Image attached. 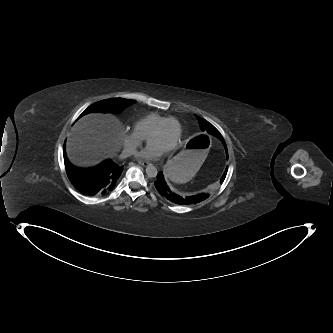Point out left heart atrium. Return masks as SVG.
I'll return each instance as SVG.
<instances>
[{
    "label": "left heart atrium",
    "mask_w": 333,
    "mask_h": 333,
    "mask_svg": "<svg viewBox=\"0 0 333 333\" xmlns=\"http://www.w3.org/2000/svg\"><path fill=\"white\" fill-rule=\"evenodd\" d=\"M166 152V149H162L155 144L150 143L145 150H143L139 156L145 159H157Z\"/></svg>",
    "instance_id": "39dd6f15"
}]
</instances>
